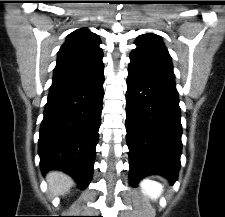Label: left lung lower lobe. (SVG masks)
I'll return each mask as SVG.
<instances>
[{
	"mask_svg": "<svg viewBox=\"0 0 225 217\" xmlns=\"http://www.w3.org/2000/svg\"><path fill=\"white\" fill-rule=\"evenodd\" d=\"M126 130L132 186L151 174L175 182L180 168L182 126L174 76L129 66Z\"/></svg>",
	"mask_w": 225,
	"mask_h": 217,
	"instance_id": "1",
	"label": "left lung lower lobe"
}]
</instances>
